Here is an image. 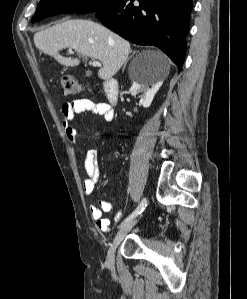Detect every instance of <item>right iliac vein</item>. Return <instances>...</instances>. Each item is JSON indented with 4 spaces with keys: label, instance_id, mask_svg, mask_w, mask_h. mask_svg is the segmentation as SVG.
<instances>
[{
    "label": "right iliac vein",
    "instance_id": "63e3f726",
    "mask_svg": "<svg viewBox=\"0 0 247 299\" xmlns=\"http://www.w3.org/2000/svg\"><path fill=\"white\" fill-rule=\"evenodd\" d=\"M136 223H137V219L131 220L128 223L124 224L117 232L107 253V262L110 265L114 264V255H115L116 248L119 246V244L124 239L126 234L135 226Z\"/></svg>",
    "mask_w": 247,
    "mask_h": 299
}]
</instances>
